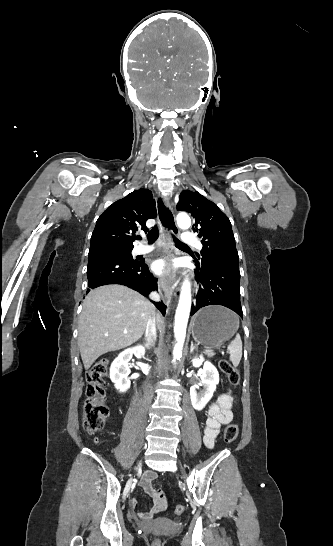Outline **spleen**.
<instances>
[{"mask_svg": "<svg viewBox=\"0 0 333 546\" xmlns=\"http://www.w3.org/2000/svg\"><path fill=\"white\" fill-rule=\"evenodd\" d=\"M237 318V324L239 327V319ZM228 351L230 354L229 360L232 362V364L237 367L240 363L241 357H242V341L239 334H236V337L234 340L230 342L228 345Z\"/></svg>", "mask_w": 333, "mask_h": 546, "instance_id": "3e777b00", "label": "spleen"}]
</instances>
